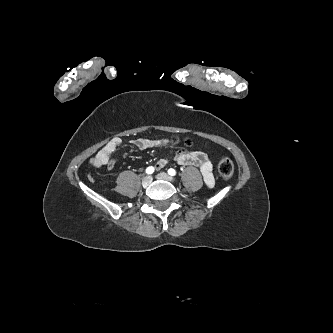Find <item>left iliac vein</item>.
<instances>
[{"label": "left iliac vein", "instance_id": "1", "mask_svg": "<svg viewBox=\"0 0 333 333\" xmlns=\"http://www.w3.org/2000/svg\"><path fill=\"white\" fill-rule=\"evenodd\" d=\"M156 177L158 179H162V180H166V181H172L173 180V178L165 172L159 173Z\"/></svg>", "mask_w": 333, "mask_h": 333}]
</instances>
